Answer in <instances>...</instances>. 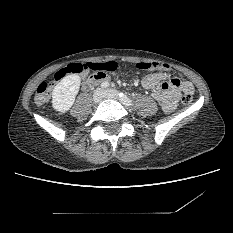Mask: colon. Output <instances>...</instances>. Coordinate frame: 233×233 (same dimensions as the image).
<instances>
[{"label": "colon", "instance_id": "1", "mask_svg": "<svg viewBox=\"0 0 233 233\" xmlns=\"http://www.w3.org/2000/svg\"><path fill=\"white\" fill-rule=\"evenodd\" d=\"M94 69L100 71L101 73L105 74L104 71H114L115 68H109L107 65L103 64H94ZM136 67L140 70H152V71H157V70H168V66L160 61H152V62H139L136 64ZM84 65L81 63H72L67 65L64 68L59 69L55 73H53L47 81L42 82L38 85L34 100L38 105H42L46 103L49 99L50 96V89L51 87L57 83L60 82L65 78V76L69 74H79L83 71ZM192 102V96L189 93H184L182 96V103L184 105H189Z\"/></svg>", "mask_w": 233, "mask_h": 233}]
</instances>
